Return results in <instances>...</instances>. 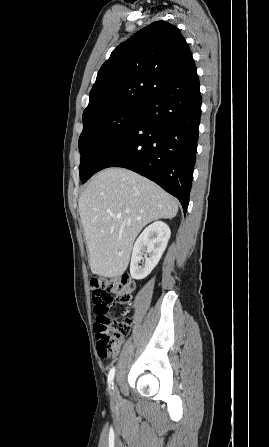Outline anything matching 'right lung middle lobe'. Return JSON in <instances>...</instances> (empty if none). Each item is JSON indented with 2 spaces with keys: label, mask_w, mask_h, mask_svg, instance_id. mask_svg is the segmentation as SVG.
Masks as SVG:
<instances>
[{
  "label": "right lung middle lobe",
  "mask_w": 269,
  "mask_h": 447,
  "mask_svg": "<svg viewBox=\"0 0 269 447\" xmlns=\"http://www.w3.org/2000/svg\"><path fill=\"white\" fill-rule=\"evenodd\" d=\"M144 104L124 106L83 122L79 137L81 160L79 175L87 181L93 165L118 139L139 121Z\"/></svg>",
  "instance_id": "right-lung-middle-lobe-1"
}]
</instances>
